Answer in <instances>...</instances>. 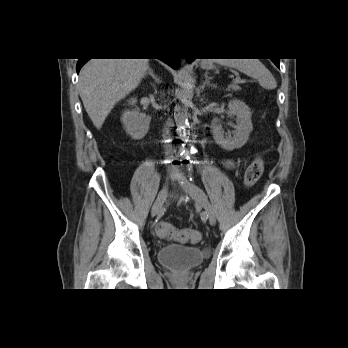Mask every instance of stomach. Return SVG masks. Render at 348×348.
Wrapping results in <instances>:
<instances>
[{
	"label": "stomach",
	"mask_w": 348,
	"mask_h": 348,
	"mask_svg": "<svg viewBox=\"0 0 348 348\" xmlns=\"http://www.w3.org/2000/svg\"><path fill=\"white\" fill-rule=\"evenodd\" d=\"M202 67H204L205 69H211L212 68V63L209 61H204L202 64Z\"/></svg>",
	"instance_id": "1"
}]
</instances>
